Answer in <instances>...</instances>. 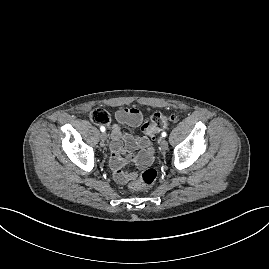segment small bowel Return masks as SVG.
I'll return each mask as SVG.
<instances>
[{
	"instance_id": "small-bowel-1",
	"label": "small bowel",
	"mask_w": 269,
	"mask_h": 269,
	"mask_svg": "<svg viewBox=\"0 0 269 269\" xmlns=\"http://www.w3.org/2000/svg\"><path fill=\"white\" fill-rule=\"evenodd\" d=\"M115 118L116 123L111 126L110 164L115 180L125 184L137 176L136 172L124 169L127 162L132 160L139 169L148 167L153 162V147L147 137L137 136L133 132L143 121L142 113L137 108H121L116 111ZM123 125L131 131L125 133ZM137 149L141 151L133 156Z\"/></svg>"
}]
</instances>
